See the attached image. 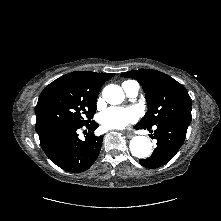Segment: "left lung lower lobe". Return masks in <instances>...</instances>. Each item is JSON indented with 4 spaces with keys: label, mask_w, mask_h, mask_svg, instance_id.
<instances>
[{
    "label": "left lung lower lobe",
    "mask_w": 221,
    "mask_h": 221,
    "mask_svg": "<svg viewBox=\"0 0 221 221\" xmlns=\"http://www.w3.org/2000/svg\"><path fill=\"white\" fill-rule=\"evenodd\" d=\"M189 125L184 123L170 122L153 127H145L139 124L135 129H147L154 133L151 137L157 140V147L149 158L139 160V163L146 168H159L168 163L178 152L184 143L187 128Z\"/></svg>",
    "instance_id": "left-lung-lower-lobe-1"
}]
</instances>
